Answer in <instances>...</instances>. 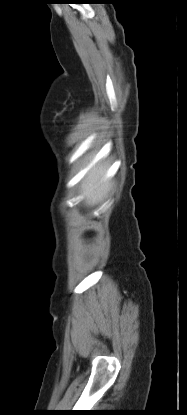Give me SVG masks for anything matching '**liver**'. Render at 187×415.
Listing matches in <instances>:
<instances>
[{
	"instance_id": "liver-1",
	"label": "liver",
	"mask_w": 187,
	"mask_h": 415,
	"mask_svg": "<svg viewBox=\"0 0 187 415\" xmlns=\"http://www.w3.org/2000/svg\"><path fill=\"white\" fill-rule=\"evenodd\" d=\"M106 172L107 166L101 163L92 166L88 171L82 185L86 193V205L94 206L106 196L110 186L109 181L104 179Z\"/></svg>"
}]
</instances>
